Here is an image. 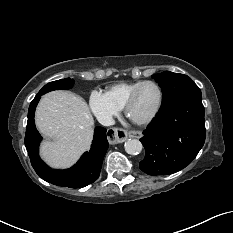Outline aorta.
I'll return each instance as SVG.
<instances>
[{
    "instance_id": "obj_1",
    "label": "aorta",
    "mask_w": 233,
    "mask_h": 233,
    "mask_svg": "<svg viewBox=\"0 0 233 233\" xmlns=\"http://www.w3.org/2000/svg\"><path fill=\"white\" fill-rule=\"evenodd\" d=\"M125 151L130 155H137L142 151V143L137 139H128L124 145Z\"/></svg>"
}]
</instances>
